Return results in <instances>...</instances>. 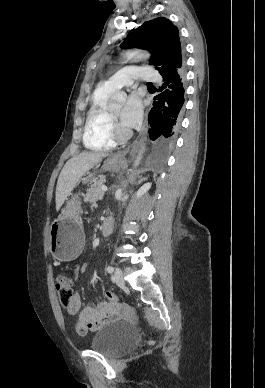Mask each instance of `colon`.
<instances>
[{
    "mask_svg": "<svg viewBox=\"0 0 265 388\" xmlns=\"http://www.w3.org/2000/svg\"><path fill=\"white\" fill-rule=\"evenodd\" d=\"M56 290L60 303L67 307L73 297V281L67 273H63L56 281ZM106 299L109 303L117 304L118 297L114 292H107Z\"/></svg>",
    "mask_w": 265,
    "mask_h": 388,
    "instance_id": "obj_1",
    "label": "colon"
}]
</instances>
